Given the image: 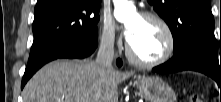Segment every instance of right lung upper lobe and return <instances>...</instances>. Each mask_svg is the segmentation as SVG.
I'll list each match as a JSON object with an SVG mask.
<instances>
[{"label":"right lung upper lobe","instance_id":"right-lung-upper-lobe-1","mask_svg":"<svg viewBox=\"0 0 221 102\" xmlns=\"http://www.w3.org/2000/svg\"><path fill=\"white\" fill-rule=\"evenodd\" d=\"M45 1H47V0H38L37 4L43 3ZM87 1L100 2V0H87Z\"/></svg>","mask_w":221,"mask_h":102}]
</instances>
